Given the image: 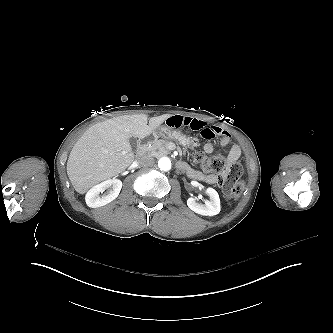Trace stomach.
Segmentation results:
<instances>
[{
	"instance_id": "obj_1",
	"label": "stomach",
	"mask_w": 333,
	"mask_h": 333,
	"mask_svg": "<svg viewBox=\"0 0 333 333\" xmlns=\"http://www.w3.org/2000/svg\"><path fill=\"white\" fill-rule=\"evenodd\" d=\"M170 139L173 141H180L186 148L192 149L199 146L200 141L194 137L191 133H181L178 130H174L166 125L158 127L150 136L146 138V141H153L158 138Z\"/></svg>"
}]
</instances>
